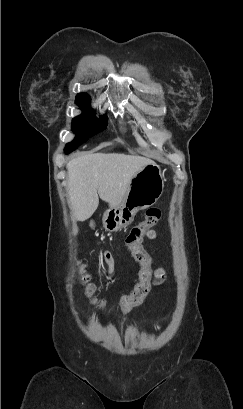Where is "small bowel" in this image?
<instances>
[{
	"instance_id": "small-bowel-1",
	"label": "small bowel",
	"mask_w": 243,
	"mask_h": 409,
	"mask_svg": "<svg viewBox=\"0 0 243 409\" xmlns=\"http://www.w3.org/2000/svg\"><path fill=\"white\" fill-rule=\"evenodd\" d=\"M145 234L149 239H155L157 237V233L152 229H149L148 231H146ZM103 259L107 263V265L109 266V273L112 274L113 273V267H114V259H113L112 254L109 251H105L103 253ZM137 260L141 264V269H140V272H139L140 283L137 286H144L148 291L149 288H150V277H151L150 259L148 257H143L142 259L137 258ZM154 275H155V278H156L157 281H162L166 276L165 268L162 267V266H159L155 270ZM134 306H132V307H130L128 309H123V311L127 312L131 308H133Z\"/></svg>"
}]
</instances>
